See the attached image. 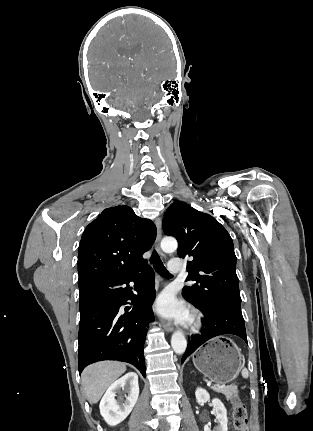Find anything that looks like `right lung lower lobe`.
I'll return each instance as SVG.
<instances>
[{"label":"right lung lower lobe","mask_w":313,"mask_h":431,"mask_svg":"<svg viewBox=\"0 0 313 431\" xmlns=\"http://www.w3.org/2000/svg\"><path fill=\"white\" fill-rule=\"evenodd\" d=\"M130 282L138 295L131 292ZM154 286V272L146 266L133 274L79 283V373L93 362L118 360L145 376L143 345L148 324L154 321Z\"/></svg>","instance_id":"98d812e1"}]
</instances>
